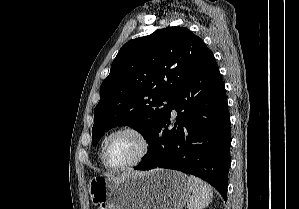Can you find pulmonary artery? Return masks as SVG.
I'll return each instance as SVG.
<instances>
[{"instance_id": "1", "label": "pulmonary artery", "mask_w": 299, "mask_h": 209, "mask_svg": "<svg viewBox=\"0 0 299 209\" xmlns=\"http://www.w3.org/2000/svg\"><path fill=\"white\" fill-rule=\"evenodd\" d=\"M173 115H176V111L175 110L173 111Z\"/></svg>"}]
</instances>
